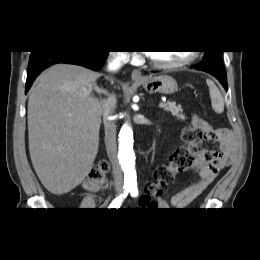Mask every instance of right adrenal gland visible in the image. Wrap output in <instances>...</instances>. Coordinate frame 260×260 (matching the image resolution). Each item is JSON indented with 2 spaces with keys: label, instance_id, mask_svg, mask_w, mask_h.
<instances>
[{
  "label": "right adrenal gland",
  "instance_id": "1",
  "mask_svg": "<svg viewBox=\"0 0 260 260\" xmlns=\"http://www.w3.org/2000/svg\"><path fill=\"white\" fill-rule=\"evenodd\" d=\"M93 87H94V90L96 91L97 94H99V95L100 94L107 95V91L105 89H103V88L98 87L96 83H94Z\"/></svg>",
  "mask_w": 260,
  "mask_h": 260
}]
</instances>
